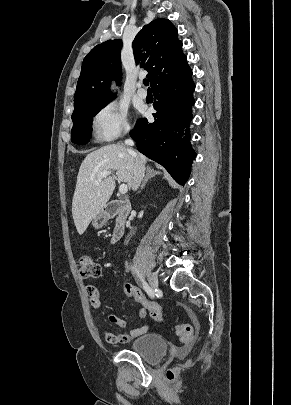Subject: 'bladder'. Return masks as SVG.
Masks as SVG:
<instances>
[{
    "mask_svg": "<svg viewBox=\"0 0 291 405\" xmlns=\"http://www.w3.org/2000/svg\"><path fill=\"white\" fill-rule=\"evenodd\" d=\"M128 350L136 353L148 363H157L166 355L168 346L162 335L148 332L132 340Z\"/></svg>",
    "mask_w": 291,
    "mask_h": 405,
    "instance_id": "1",
    "label": "bladder"
}]
</instances>
